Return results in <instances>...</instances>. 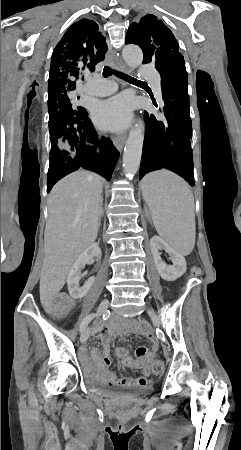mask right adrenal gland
<instances>
[{"mask_svg": "<svg viewBox=\"0 0 241 450\" xmlns=\"http://www.w3.org/2000/svg\"><path fill=\"white\" fill-rule=\"evenodd\" d=\"M103 214H104V212H102V216H103ZM100 224H101V218L99 216V218H98V226H100Z\"/></svg>", "mask_w": 241, "mask_h": 450, "instance_id": "right-adrenal-gland-1", "label": "right adrenal gland"}]
</instances>
